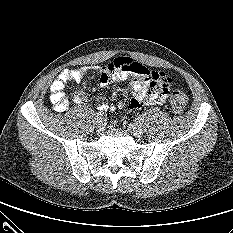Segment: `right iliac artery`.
Segmentation results:
<instances>
[{"label":"right iliac artery","mask_w":233,"mask_h":233,"mask_svg":"<svg viewBox=\"0 0 233 233\" xmlns=\"http://www.w3.org/2000/svg\"><path fill=\"white\" fill-rule=\"evenodd\" d=\"M96 117H97V120H101L102 117H103V113L97 112V113H96Z\"/></svg>","instance_id":"82829eb1"}]
</instances>
